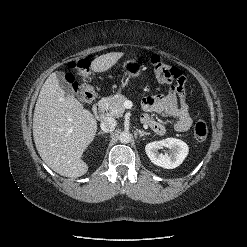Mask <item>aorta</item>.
Returning a JSON list of instances; mask_svg holds the SVG:
<instances>
[{"instance_id": "aorta-1", "label": "aorta", "mask_w": 247, "mask_h": 247, "mask_svg": "<svg viewBox=\"0 0 247 247\" xmlns=\"http://www.w3.org/2000/svg\"><path fill=\"white\" fill-rule=\"evenodd\" d=\"M131 139H132V135L128 131H123L119 135V141L121 143L127 144V143H129L131 141Z\"/></svg>"}]
</instances>
